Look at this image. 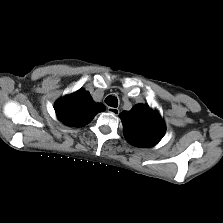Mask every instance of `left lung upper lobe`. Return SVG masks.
<instances>
[{
  "label": "left lung upper lobe",
  "instance_id": "1",
  "mask_svg": "<svg viewBox=\"0 0 223 223\" xmlns=\"http://www.w3.org/2000/svg\"><path fill=\"white\" fill-rule=\"evenodd\" d=\"M119 116L126 140L136 147L154 146L164 136V122L148 105L137 104Z\"/></svg>",
  "mask_w": 223,
  "mask_h": 223
}]
</instances>
